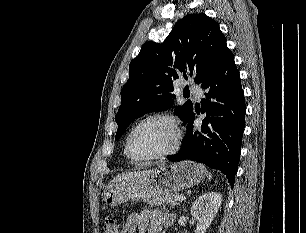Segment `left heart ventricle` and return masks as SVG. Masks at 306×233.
Listing matches in <instances>:
<instances>
[{
  "label": "left heart ventricle",
  "mask_w": 306,
  "mask_h": 233,
  "mask_svg": "<svg viewBox=\"0 0 306 233\" xmlns=\"http://www.w3.org/2000/svg\"><path fill=\"white\" fill-rule=\"evenodd\" d=\"M175 142V130L166 120H153L142 125L132 136L130 149L138 158L169 150Z\"/></svg>",
  "instance_id": "left-heart-ventricle-1"
}]
</instances>
